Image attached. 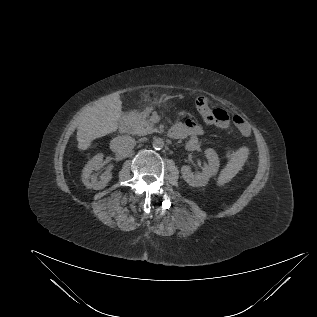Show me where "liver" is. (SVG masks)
<instances>
[{"instance_id": "obj_1", "label": "liver", "mask_w": 317, "mask_h": 317, "mask_svg": "<svg viewBox=\"0 0 317 317\" xmlns=\"http://www.w3.org/2000/svg\"><path fill=\"white\" fill-rule=\"evenodd\" d=\"M122 102L118 93H112L86 107L80 115L77 128L78 148L87 150L92 141L113 133L118 128Z\"/></svg>"}]
</instances>
